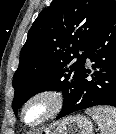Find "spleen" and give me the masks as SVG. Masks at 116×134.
I'll use <instances>...</instances> for the list:
<instances>
[{
	"label": "spleen",
	"mask_w": 116,
	"mask_h": 134,
	"mask_svg": "<svg viewBox=\"0 0 116 134\" xmlns=\"http://www.w3.org/2000/svg\"><path fill=\"white\" fill-rule=\"evenodd\" d=\"M98 124L101 134H116V108L100 106L87 110Z\"/></svg>",
	"instance_id": "obj_1"
}]
</instances>
